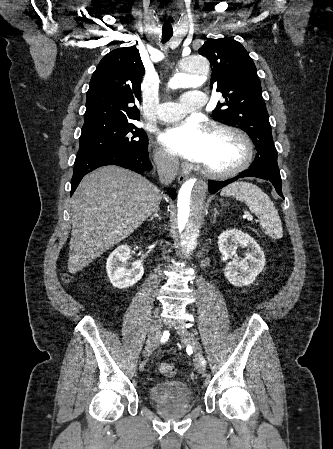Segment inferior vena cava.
I'll return each instance as SVG.
<instances>
[{
	"instance_id": "1",
	"label": "inferior vena cava",
	"mask_w": 333,
	"mask_h": 449,
	"mask_svg": "<svg viewBox=\"0 0 333 449\" xmlns=\"http://www.w3.org/2000/svg\"><path fill=\"white\" fill-rule=\"evenodd\" d=\"M159 180L164 184H170L178 171V159L168 154H161L155 159Z\"/></svg>"
}]
</instances>
